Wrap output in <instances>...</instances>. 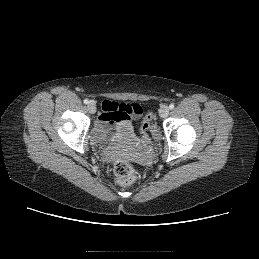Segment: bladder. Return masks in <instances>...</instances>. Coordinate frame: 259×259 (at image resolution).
<instances>
[{"label":"bladder","instance_id":"31cf9c89","mask_svg":"<svg viewBox=\"0 0 259 259\" xmlns=\"http://www.w3.org/2000/svg\"><path fill=\"white\" fill-rule=\"evenodd\" d=\"M121 135H126L123 131H120Z\"/></svg>","mask_w":259,"mask_h":259}]
</instances>
